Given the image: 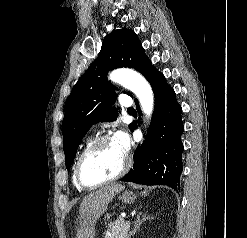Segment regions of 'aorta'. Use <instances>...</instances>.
Masks as SVG:
<instances>
[{
	"mask_svg": "<svg viewBox=\"0 0 247 238\" xmlns=\"http://www.w3.org/2000/svg\"><path fill=\"white\" fill-rule=\"evenodd\" d=\"M109 79L131 90L137 96L146 119L151 118L154 109V96L149 83L142 75L133 70L119 69L112 72Z\"/></svg>",
	"mask_w": 247,
	"mask_h": 238,
	"instance_id": "762f6f07",
	"label": "aorta"
}]
</instances>
